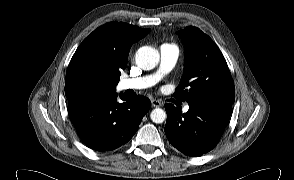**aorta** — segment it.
<instances>
[{"instance_id": "obj_1", "label": "aorta", "mask_w": 294, "mask_h": 180, "mask_svg": "<svg viewBox=\"0 0 294 180\" xmlns=\"http://www.w3.org/2000/svg\"><path fill=\"white\" fill-rule=\"evenodd\" d=\"M135 60L141 69L151 70L158 64L159 55L153 47L143 46L136 52ZM150 118L154 123H163L166 119V112L161 108H155L152 110Z\"/></svg>"}]
</instances>
